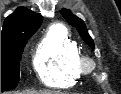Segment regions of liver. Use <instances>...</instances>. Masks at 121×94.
I'll return each mask as SVG.
<instances>
[{"mask_svg":"<svg viewBox=\"0 0 121 94\" xmlns=\"http://www.w3.org/2000/svg\"><path fill=\"white\" fill-rule=\"evenodd\" d=\"M10 94H59L58 92H54V91H42V92H25V93H18V92H13Z\"/></svg>","mask_w":121,"mask_h":94,"instance_id":"liver-1","label":"liver"}]
</instances>
